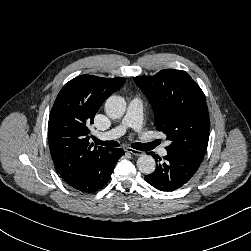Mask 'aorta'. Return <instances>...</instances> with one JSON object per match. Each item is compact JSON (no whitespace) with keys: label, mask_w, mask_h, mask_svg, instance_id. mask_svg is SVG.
Wrapping results in <instances>:
<instances>
[{"label":"aorta","mask_w":251,"mask_h":251,"mask_svg":"<svg viewBox=\"0 0 251 251\" xmlns=\"http://www.w3.org/2000/svg\"><path fill=\"white\" fill-rule=\"evenodd\" d=\"M105 111L112 119H120L126 111V102L121 96H110L105 103ZM137 168L143 174L155 171L156 163L151 155H141L137 160Z\"/></svg>","instance_id":"obj_1"}]
</instances>
